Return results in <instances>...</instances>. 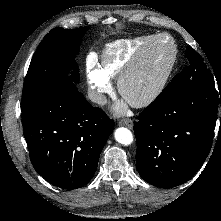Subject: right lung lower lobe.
I'll return each instance as SVG.
<instances>
[{
    "label": "right lung lower lobe",
    "mask_w": 221,
    "mask_h": 221,
    "mask_svg": "<svg viewBox=\"0 0 221 221\" xmlns=\"http://www.w3.org/2000/svg\"><path fill=\"white\" fill-rule=\"evenodd\" d=\"M21 112L35 170L62 189L86 185L97 169L114 121L93 108L69 80L46 89Z\"/></svg>",
    "instance_id": "right-lung-lower-lobe-1"
}]
</instances>
